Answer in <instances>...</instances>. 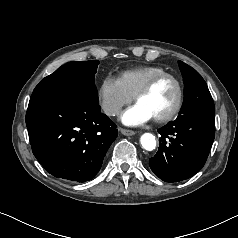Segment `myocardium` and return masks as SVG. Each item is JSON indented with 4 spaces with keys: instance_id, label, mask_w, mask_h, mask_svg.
Returning <instances> with one entry per match:
<instances>
[{
    "instance_id": "1",
    "label": "myocardium",
    "mask_w": 238,
    "mask_h": 238,
    "mask_svg": "<svg viewBox=\"0 0 238 238\" xmlns=\"http://www.w3.org/2000/svg\"><path fill=\"white\" fill-rule=\"evenodd\" d=\"M163 79H170L172 80L175 85H176V89H177V98H176V102L173 106V108L165 115L162 116H158L155 117L154 120L156 122L159 123H164V122H168L171 121L172 119H174L178 113L180 112L182 105H183V99H184V89H183V84L180 81V79L178 77H176L175 75L171 74V73H161L158 74L154 77H152L151 79H149L138 91L137 93L134 95V101L137 103L138 100L146 95L147 93H149L152 88L161 80Z\"/></svg>"
}]
</instances>
